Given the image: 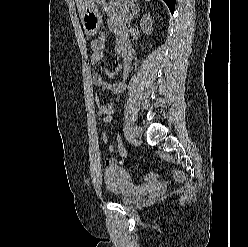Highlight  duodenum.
I'll return each mask as SVG.
<instances>
[{
	"instance_id": "410a0bca",
	"label": "duodenum",
	"mask_w": 248,
	"mask_h": 247,
	"mask_svg": "<svg viewBox=\"0 0 248 247\" xmlns=\"http://www.w3.org/2000/svg\"><path fill=\"white\" fill-rule=\"evenodd\" d=\"M123 58H124V59H127V56H126V55H124V56H123Z\"/></svg>"
}]
</instances>
